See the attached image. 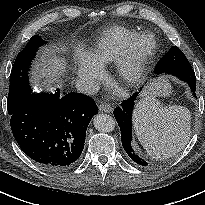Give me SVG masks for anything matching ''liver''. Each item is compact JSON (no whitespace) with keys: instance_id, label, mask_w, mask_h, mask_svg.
<instances>
[{"instance_id":"obj_1","label":"liver","mask_w":205,"mask_h":205,"mask_svg":"<svg viewBox=\"0 0 205 205\" xmlns=\"http://www.w3.org/2000/svg\"><path fill=\"white\" fill-rule=\"evenodd\" d=\"M43 63H39L35 67L34 71V79L41 80L44 79L42 82V87L47 90H52V86L56 85L58 82L59 76L64 71L66 66V62L63 58H57L52 53L44 54ZM159 85H164L167 92V83L164 81H158L157 83H152L147 90H152Z\"/></svg>"}]
</instances>
